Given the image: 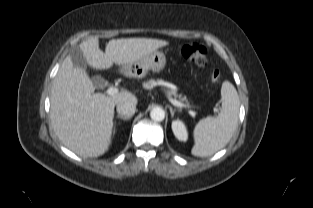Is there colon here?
Masks as SVG:
<instances>
[{
  "label": "colon",
  "instance_id": "obj_1",
  "mask_svg": "<svg viewBox=\"0 0 313 208\" xmlns=\"http://www.w3.org/2000/svg\"><path fill=\"white\" fill-rule=\"evenodd\" d=\"M182 56L198 67H206L208 65L207 49L197 43L185 45L181 50ZM209 75L213 82L219 83L221 81V73L216 67H210Z\"/></svg>",
  "mask_w": 313,
  "mask_h": 208
}]
</instances>
